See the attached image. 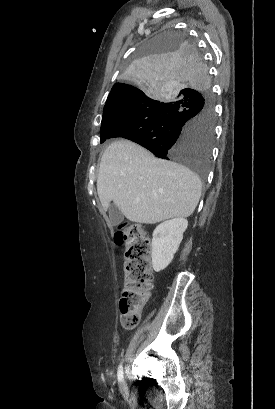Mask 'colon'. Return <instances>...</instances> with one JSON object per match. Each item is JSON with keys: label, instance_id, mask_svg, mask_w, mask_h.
I'll return each mask as SVG.
<instances>
[{"label": "colon", "instance_id": "colon-1", "mask_svg": "<svg viewBox=\"0 0 275 409\" xmlns=\"http://www.w3.org/2000/svg\"><path fill=\"white\" fill-rule=\"evenodd\" d=\"M114 243L126 251L119 303L120 323L123 330H134L152 287V244L145 229L137 223L121 225L115 233Z\"/></svg>", "mask_w": 275, "mask_h": 409}]
</instances>
